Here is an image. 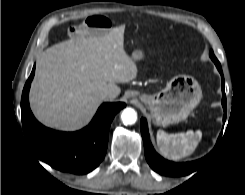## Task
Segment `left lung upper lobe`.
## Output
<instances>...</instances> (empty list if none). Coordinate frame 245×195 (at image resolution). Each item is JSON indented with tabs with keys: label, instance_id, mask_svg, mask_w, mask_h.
<instances>
[{
	"label": "left lung upper lobe",
	"instance_id": "obj_1",
	"mask_svg": "<svg viewBox=\"0 0 245 195\" xmlns=\"http://www.w3.org/2000/svg\"><path fill=\"white\" fill-rule=\"evenodd\" d=\"M210 58L212 59V61L215 63V64H220L219 61L217 60V58L215 57L213 51L211 50L210 51Z\"/></svg>",
	"mask_w": 245,
	"mask_h": 195
}]
</instances>
